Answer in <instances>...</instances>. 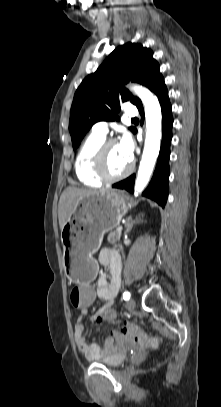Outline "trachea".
<instances>
[{"label": "trachea", "mask_w": 221, "mask_h": 407, "mask_svg": "<svg viewBox=\"0 0 221 407\" xmlns=\"http://www.w3.org/2000/svg\"><path fill=\"white\" fill-rule=\"evenodd\" d=\"M132 120H133V121H136V120H138V118H132Z\"/></svg>", "instance_id": "3493384b"}]
</instances>
